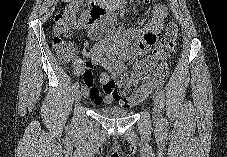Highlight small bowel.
<instances>
[{"label": "small bowel", "instance_id": "small-bowel-1", "mask_svg": "<svg viewBox=\"0 0 227 157\" xmlns=\"http://www.w3.org/2000/svg\"><path fill=\"white\" fill-rule=\"evenodd\" d=\"M167 15V7L157 4L150 9L148 20L141 27H123L115 33L90 32L93 43H87L84 48L83 55L86 61H73L74 74L83 77V95L89 97L96 105L121 103L124 94L117 89L112 75H122L133 65L134 71L125 76L129 81L130 90L136 87L145 76L138 71L142 62L137 61V58L147 54L149 46L162 31ZM92 66H100L103 69L100 75L103 94L94 85Z\"/></svg>", "mask_w": 227, "mask_h": 157}]
</instances>
